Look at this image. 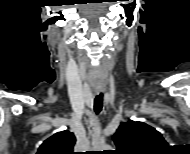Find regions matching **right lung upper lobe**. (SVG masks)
Segmentation results:
<instances>
[{
	"label": "right lung upper lobe",
	"mask_w": 190,
	"mask_h": 154,
	"mask_svg": "<svg viewBox=\"0 0 190 154\" xmlns=\"http://www.w3.org/2000/svg\"><path fill=\"white\" fill-rule=\"evenodd\" d=\"M76 138L70 131H61L47 140L39 147L37 154H75L73 147Z\"/></svg>",
	"instance_id": "cb5924a9"
}]
</instances>
